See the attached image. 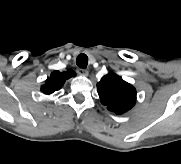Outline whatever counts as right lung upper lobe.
<instances>
[{
	"instance_id": "1",
	"label": "right lung upper lobe",
	"mask_w": 181,
	"mask_h": 164,
	"mask_svg": "<svg viewBox=\"0 0 181 164\" xmlns=\"http://www.w3.org/2000/svg\"><path fill=\"white\" fill-rule=\"evenodd\" d=\"M75 75L76 73L72 69H69L66 72L54 71L46 80V83L41 87V91L44 94H52L55 91L61 89L67 79Z\"/></svg>"
}]
</instances>
